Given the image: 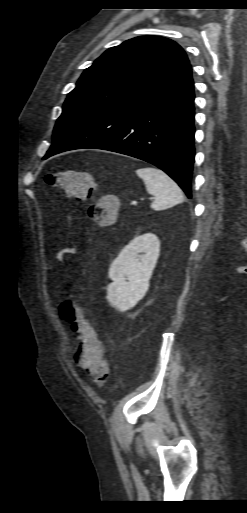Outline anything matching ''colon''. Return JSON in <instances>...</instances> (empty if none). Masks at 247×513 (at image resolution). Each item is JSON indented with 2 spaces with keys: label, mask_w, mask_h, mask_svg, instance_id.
<instances>
[{
  "label": "colon",
  "mask_w": 247,
  "mask_h": 513,
  "mask_svg": "<svg viewBox=\"0 0 247 513\" xmlns=\"http://www.w3.org/2000/svg\"><path fill=\"white\" fill-rule=\"evenodd\" d=\"M46 182L62 189L67 197L77 200L91 198L95 188L92 174L73 169L51 173L46 177ZM117 209L115 197L106 195L99 204L88 207L86 216L101 226H110L116 222ZM59 309L63 320L70 324L77 337L70 350L71 358L76 361V370L86 379H91L98 385L104 384L108 377L105 348L103 342L97 339L90 319L71 295H67Z\"/></svg>",
  "instance_id": "colon-1"
}]
</instances>
